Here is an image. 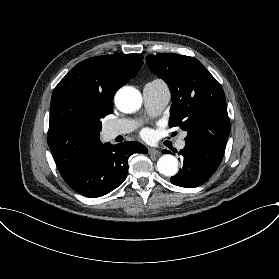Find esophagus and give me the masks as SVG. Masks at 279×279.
Here are the masks:
<instances>
[{"instance_id":"esophagus-1","label":"esophagus","mask_w":279,"mask_h":279,"mask_svg":"<svg viewBox=\"0 0 279 279\" xmlns=\"http://www.w3.org/2000/svg\"><path fill=\"white\" fill-rule=\"evenodd\" d=\"M160 152L157 150V149H155V148H151V147H149L148 148V154L149 155H151V156H157L158 154H159Z\"/></svg>"}]
</instances>
